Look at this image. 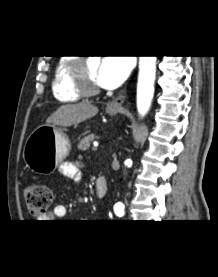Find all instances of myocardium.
I'll return each instance as SVG.
<instances>
[{
	"instance_id": "f54148a6",
	"label": "myocardium",
	"mask_w": 218,
	"mask_h": 277,
	"mask_svg": "<svg viewBox=\"0 0 218 277\" xmlns=\"http://www.w3.org/2000/svg\"><path fill=\"white\" fill-rule=\"evenodd\" d=\"M72 79L74 88L80 95L90 96L100 92V88L88 76L87 62L84 58H80L74 63L72 67Z\"/></svg>"
}]
</instances>
